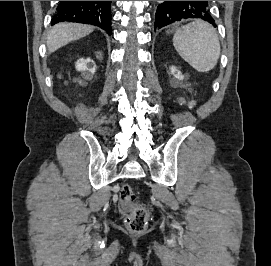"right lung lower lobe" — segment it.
<instances>
[{
	"label": "right lung lower lobe",
	"instance_id": "right-lung-lower-lobe-1",
	"mask_svg": "<svg viewBox=\"0 0 271 266\" xmlns=\"http://www.w3.org/2000/svg\"><path fill=\"white\" fill-rule=\"evenodd\" d=\"M111 1H60L51 24L70 21L92 24L111 34Z\"/></svg>",
	"mask_w": 271,
	"mask_h": 266
}]
</instances>
